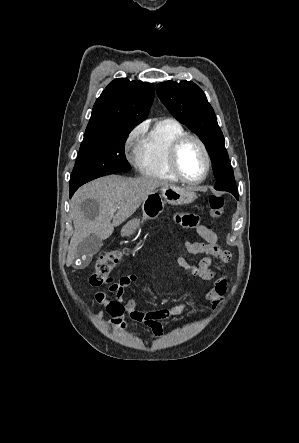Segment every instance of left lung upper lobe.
<instances>
[{"instance_id":"left-lung-upper-lobe-1","label":"left lung upper lobe","mask_w":299,"mask_h":443,"mask_svg":"<svg viewBox=\"0 0 299 443\" xmlns=\"http://www.w3.org/2000/svg\"><path fill=\"white\" fill-rule=\"evenodd\" d=\"M158 97L170 113L205 144L212 161L215 189L237 191L225 140L204 92L191 81H166L156 86Z\"/></svg>"}]
</instances>
